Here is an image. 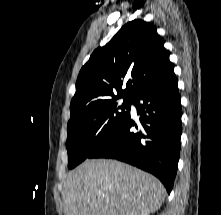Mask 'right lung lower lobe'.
<instances>
[{
  "label": "right lung lower lobe",
  "instance_id": "98d812e1",
  "mask_svg": "<svg viewBox=\"0 0 221 215\" xmlns=\"http://www.w3.org/2000/svg\"><path fill=\"white\" fill-rule=\"evenodd\" d=\"M132 104L139 121L135 122L129 112L87 158H112L134 165L159 178L170 193L182 134L181 98L174 72L139 92Z\"/></svg>",
  "mask_w": 221,
  "mask_h": 215
}]
</instances>
